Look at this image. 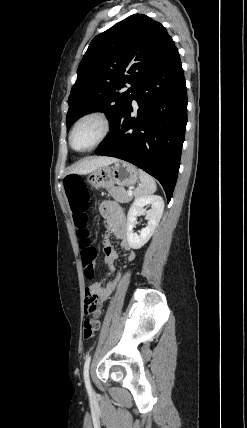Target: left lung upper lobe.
Returning <instances> with one entry per match:
<instances>
[{
    "instance_id": "5c2ea615",
    "label": "left lung upper lobe",
    "mask_w": 247,
    "mask_h": 428,
    "mask_svg": "<svg viewBox=\"0 0 247 428\" xmlns=\"http://www.w3.org/2000/svg\"><path fill=\"white\" fill-rule=\"evenodd\" d=\"M175 49L162 24L144 14L131 15L96 36L68 98L67 130L95 110L106 112L113 124L144 77Z\"/></svg>"
}]
</instances>
